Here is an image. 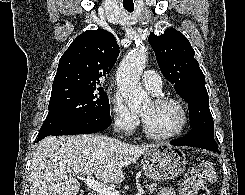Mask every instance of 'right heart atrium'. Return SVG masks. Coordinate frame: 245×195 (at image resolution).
<instances>
[{"label":"right heart atrium","instance_id":"d8ad5b80","mask_svg":"<svg viewBox=\"0 0 245 195\" xmlns=\"http://www.w3.org/2000/svg\"><path fill=\"white\" fill-rule=\"evenodd\" d=\"M108 106L110 119L117 130L125 134H131L137 128L139 124L138 116L129 110L120 94H109Z\"/></svg>","mask_w":245,"mask_h":195}]
</instances>
